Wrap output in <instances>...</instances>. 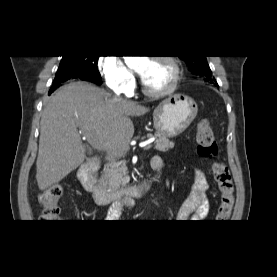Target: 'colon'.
Returning <instances> with one entry per match:
<instances>
[{
	"label": "colon",
	"mask_w": 277,
	"mask_h": 277,
	"mask_svg": "<svg viewBox=\"0 0 277 277\" xmlns=\"http://www.w3.org/2000/svg\"><path fill=\"white\" fill-rule=\"evenodd\" d=\"M195 139L198 154L211 162L212 176L219 191L217 218L227 220L232 214L234 205V183L230 170L219 159L217 141L213 129L206 119H201L197 123ZM62 192V187L56 184L50 186L39 195L43 222H58L60 215L59 200Z\"/></svg>",
	"instance_id": "colon-1"
}]
</instances>
